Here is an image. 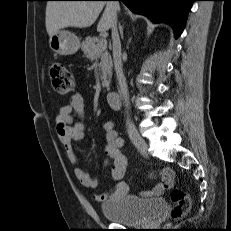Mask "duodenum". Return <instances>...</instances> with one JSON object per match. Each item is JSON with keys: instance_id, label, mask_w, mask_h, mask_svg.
<instances>
[{"instance_id": "410a0bca", "label": "duodenum", "mask_w": 231, "mask_h": 231, "mask_svg": "<svg viewBox=\"0 0 231 231\" xmlns=\"http://www.w3.org/2000/svg\"><path fill=\"white\" fill-rule=\"evenodd\" d=\"M107 102L112 109H119L121 107V96L116 91H109L106 96Z\"/></svg>"}]
</instances>
